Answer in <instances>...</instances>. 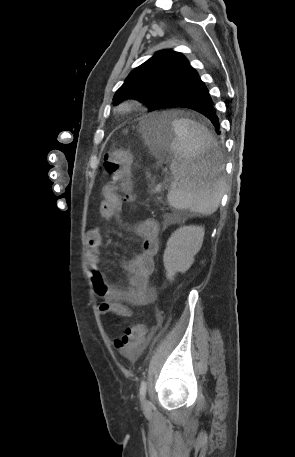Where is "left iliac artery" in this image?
Returning <instances> with one entry per match:
<instances>
[{"label":"left iliac artery","mask_w":295,"mask_h":457,"mask_svg":"<svg viewBox=\"0 0 295 457\" xmlns=\"http://www.w3.org/2000/svg\"><path fill=\"white\" fill-rule=\"evenodd\" d=\"M146 389H147V384L145 381H142L141 382V386H140V398L143 399L146 395Z\"/></svg>","instance_id":"obj_1"}]
</instances>
